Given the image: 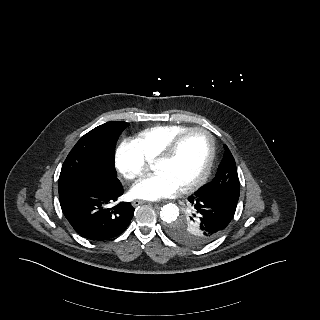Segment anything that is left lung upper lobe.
I'll return each instance as SVG.
<instances>
[{
	"label": "left lung upper lobe",
	"instance_id": "left-lung-upper-lobe-1",
	"mask_svg": "<svg viewBox=\"0 0 320 320\" xmlns=\"http://www.w3.org/2000/svg\"><path fill=\"white\" fill-rule=\"evenodd\" d=\"M224 149L225 153L214 179L201 189L209 194L220 195L238 201L240 183L235 160L226 145H224ZM168 234L177 242L189 246H198L210 242L203 233L199 213L192 204L181 220L169 224Z\"/></svg>",
	"mask_w": 320,
	"mask_h": 320
}]
</instances>
